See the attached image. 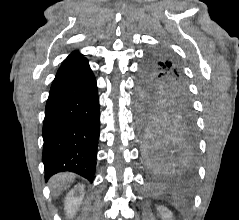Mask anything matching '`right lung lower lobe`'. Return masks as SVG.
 <instances>
[{"instance_id": "1", "label": "right lung lower lobe", "mask_w": 239, "mask_h": 220, "mask_svg": "<svg viewBox=\"0 0 239 220\" xmlns=\"http://www.w3.org/2000/svg\"><path fill=\"white\" fill-rule=\"evenodd\" d=\"M99 134L96 79L84 60L59 71L50 89L43 124L45 179L71 171L92 181Z\"/></svg>"}]
</instances>
